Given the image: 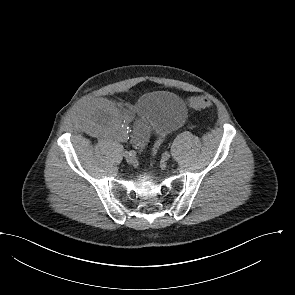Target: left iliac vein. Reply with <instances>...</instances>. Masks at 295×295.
I'll use <instances>...</instances> for the list:
<instances>
[{
	"label": "left iliac vein",
	"instance_id": "left-iliac-vein-1",
	"mask_svg": "<svg viewBox=\"0 0 295 295\" xmlns=\"http://www.w3.org/2000/svg\"><path fill=\"white\" fill-rule=\"evenodd\" d=\"M169 159V157L168 156H163V159H162V162H161V166L163 167V168H166V166H167V160Z\"/></svg>",
	"mask_w": 295,
	"mask_h": 295
}]
</instances>
